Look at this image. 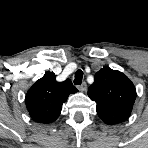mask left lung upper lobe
<instances>
[{
	"label": "left lung upper lobe",
	"instance_id": "5c2ea615",
	"mask_svg": "<svg viewBox=\"0 0 148 148\" xmlns=\"http://www.w3.org/2000/svg\"><path fill=\"white\" fill-rule=\"evenodd\" d=\"M88 96L96 102L98 116L106 124L113 125L129 118L136 99V89L122 72L105 66L95 74Z\"/></svg>",
	"mask_w": 148,
	"mask_h": 148
}]
</instances>
